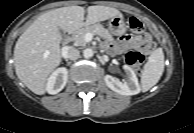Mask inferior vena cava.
<instances>
[{"label":"inferior vena cava","instance_id":"obj_1","mask_svg":"<svg viewBox=\"0 0 194 133\" xmlns=\"http://www.w3.org/2000/svg\"><path fill=\"white\" fill-rule=\"evenodd\" d=\"M64 55L70 60H76L80 57V52L74 47H67L64 51Z\"/></svg>","mask_w":194,"mask_h":133}]
</instances>
